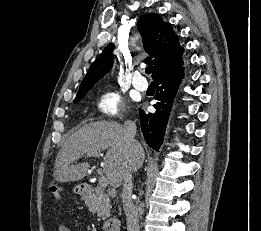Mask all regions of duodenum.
<instances>
[{"label":"duodenum","instance_id":"duodenum-1","mask_svg":"<svg viewBox=\"0 0 261 231\" xmlns=\"http://www.w3.org/2000/svg\"><path fill=\"white\" fill-rule=\"evenodd\" d=\"M93 192V187L92 186H82V189H81V193L82 194H90ZM105 229L107 231H120V222L118 219L116 218H112L110 219L107 223H106V226H105Z\"/></svg>","mask_w":261,"mask_h":231}]
</instances>
